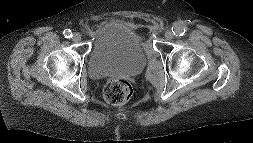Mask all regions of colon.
<instances>
[{"label":"colon","instance_id":"1","mask_svg":"<svg viewBox=\"0 0 253 143\" xmlns=\"http://www.w3.org/2000/svg\"><path fill=\"white\" fill-rule=\"evenodd\" d=\"M132 93L131 84L124 79H113L104 88V98L106 102L112 105L126 103L131 98Z\"/></svg>","mask_w":253,"mask_h":143}]
</instances>
